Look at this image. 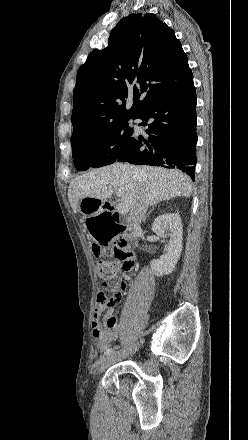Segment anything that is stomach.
I'll list each match as a JSON object with an SVG mask.
<instances>
[{
	"instance_id": "stomach-1",
	"label": "stomach",
	"mask_w": 248,
	"mask_h": 440,
	"mask_svg": "<svg viewBox=\"0 0 248 440\" xmlns=\"http://www.w3.org/2000/svg\"><path fill=\"white\" fill-rule=\"evenodd\" d=\"M94 198H83L79 208L81 216L87 218L88 237L91 246H108L109 241H114L116 230L110 209H103V201ZM84 201L85 204H81Z\"/></svg>"
}]
</instances>
